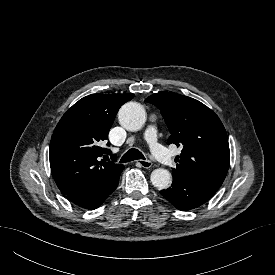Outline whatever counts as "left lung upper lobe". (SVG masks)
Here are the masks:
<instances>
[{
  "label": "left lung upper lobe",
  "instance_id": "1",
  "mask_svg": "<svg viewBox=\"0 0 275 275\" xmlns=\"http://www.w3.org/2000/svg\"><path fill=\"white\" fill-rule=\"evenodd\" d=\"M145 101L160 109L171 133L167 144L182 147L172 175L219 189L229 168L230 151L218 116L201 102L174 92L156 93Z\"/></svg>",
  "mask_w": 275,
  "mask_h": 275
}]
</instances>
